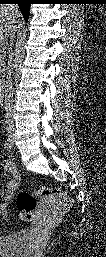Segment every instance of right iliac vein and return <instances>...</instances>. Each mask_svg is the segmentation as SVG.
<instances>
[{"instance_id": "obj_1", "label": "right iliac vein", "mask_w": 106, "mask_h": 257, "mask_svg": "<svg viewBox=\"0 0 106 257\" xmlns=\"http://www.w3.org/2000/svg\"><path fill=\"white\" fill-rule=\"evenodd\" d=\"M9 138H10V140H11V143H13V137H12V136H10Z\"/></svg>"}]
</instances>
